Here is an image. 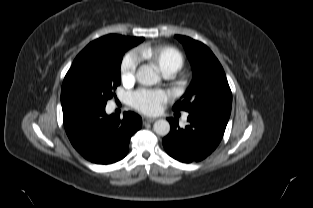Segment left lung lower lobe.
Here are the masks:
<instances>
[{"label":"left lung lower lobe","instance_id":"0a47b994","mask_svg":"<svg viewBox=\"0 0 313 208\" xmlns=\"http://www.w3.org/2000/svg\"><path fill=\"white\" fill-rule=\"evenodd\" d=\"M189 124L180 128L178 122L168 118L170 133L163 138L166 152L174 159L184 162H198L210 155L220 143L229 116L220 113H189Z\"/></svg>","mask_w":313,"mask_h":208}]
</instances>
